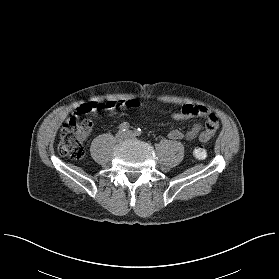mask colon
Masks as SVG:
<instances>
[{"instance_id": "1", "label": "colon", "mask_w": 279, "mask_h": 279, "mask_svg": "<svg viewBox=\"0 0 279 279\" xmlns=\"http://www.w3.org/2000/svg\"><path fill=\"white\" fill-rule=\"evenodd\" d=\"M127 104L132 107L139 106V102L136 100H129ZM92 126L93 123L90 119L71 118L67 120L60 131L59 153L74 160L81 159L85 154L83 140ZM203 141H205V137ZM193 154L196 158L203 159L206 157V149L204 146H197L193 150Z\"/></svg>"}]
</instances>
